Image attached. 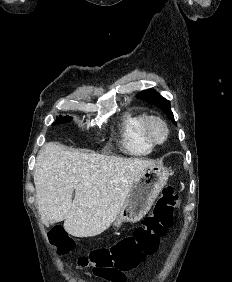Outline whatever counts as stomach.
Here are the masks:
<instances>
[{
	"mask_svg": "<svg viewBox=\"0 0 232 282\" xmlns=\"http://www.w3.org/2000/svg\"><path fill=\"white\" fill-rule=\"evenodd\" d=\"M170 170L164 166L152 165L137 177L126 201L113 221L114 228L123 223L140 221L153 205L162 188L166 185Z\"/></svg>",
	"mask_w": 232,
	"mask_h": 282,
	"instance_id": "0dacf381",
	"label": "stomach"
}]
</instances>
